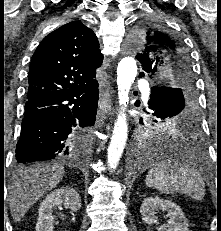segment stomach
I'll list each match as a JSON object with an SVG mask.
<instances>
[{"label": "stomach", "mask_w": 221, "mask_h": 231, "mask_svg": "<svg viewBox=\"0 0 221 231\" xmlns=\"http://www.w3.org/2000/svg\"><path fill=\"white\" fill-rule=\"evenodd\" d=\"M168 129L177 130V126L174 127L173 125H170V126L167 127V130H168ZM168 132H169V131H166V132H164V134H165V133H168Z\"/></svg>", "instance_id": "stomach-1"}]
</instances>
